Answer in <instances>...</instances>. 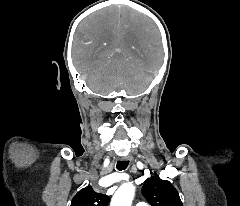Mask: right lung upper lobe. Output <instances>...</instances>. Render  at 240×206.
Wrapping results in <instances>:
<instances>
[{
	"mask_svg": "<svg viewBox=\"0 0 240 206\" xmlns=\"http://www.w3.org/2000/svg\"><path fill=\"white\" fill-rule=\"evenodd\" d=\"M110 197L95 192L87 186L80 190L72 199L71 206H108Z\"/></svg>",
	"mask_w": 240,
	"mask_h": 206,
	"instance_id": "right-lung-upper-lobe-1",
	"label": "right lung upper lobe"
}]
</instances>
